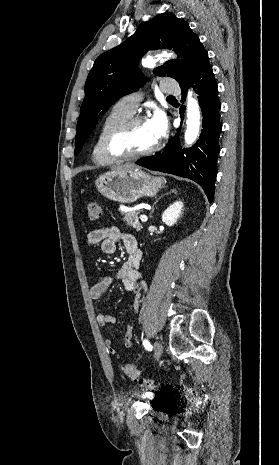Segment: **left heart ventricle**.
<instances>
[{
    "mask_svg": "<svg viewBox=\"0 0 279 465\" xmlns=\"http://www.w3.org/2000/svg\"><path fill=\"white\" fill-rule=\"evenodd\" d=\"M156 139L147 122L134 125L124 136L116 142L118 151L130 153L142 152L150 148Z\"/></svg>",
    "mask_w": 279,
    "mask_h": 465,
    "instance_id": "obj_1",
    "label": "left heart ventricle"
}]
</instances>
